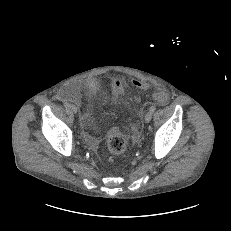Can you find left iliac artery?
<instances>
[{
    "label": "left iliac artery",
    "mask_w": 231,
    "mask_h": 231,
    "mask_svg": "<svg viewBox=\"0 0 231 231\" xmlns=\"http://www.w3.org/2000/svg\"><path fill=\"white\" fill-rule=\"evenodd\" d=\"M156 110V107L155 106H151L150 107V111L153 113L154 111Z\"/></svg>",
    "instance_id": "44dca946"
}]
</instances>
